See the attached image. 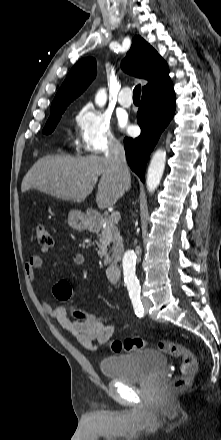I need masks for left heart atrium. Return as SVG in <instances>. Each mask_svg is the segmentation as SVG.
<instances>
[{"mask_svg": "<svg viewBox=\"0 0 221 440\" xmlns=\"http://www.w3.org/2000/svg\"><path fill=\"white\" fill-rule=\"evenodd\" d=\"M121 126H123V127H126L127 126V123H126V121H121Z\"/></svg>", "mask_w": 221, "mask_h": 440, "instance_id": "left-heart-atrium-1", "label": "left heart atrium"}]
</instances>
